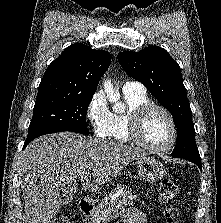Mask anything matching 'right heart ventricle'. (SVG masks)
<instances>
[{
    "mask_svg": "<svg viewBox=\"0 0 221 223\" xmlns=\"http://www.w3.org/2000/svg\"><path fill=\"white\" fill-rule=\"evenodd\" d=\"M128 109L124 113H111L109 139L115 142L127 143L131 139L128 134V126L132 112L139 106L150 103L146 92L144 93H124Z\"/></svg>",
    "mask_w": 221,
    "mask_h": 223,
    "instance_id": "right-heart-ventricle-1",
    "label": "right heart ventricle"
}]
</instances>
